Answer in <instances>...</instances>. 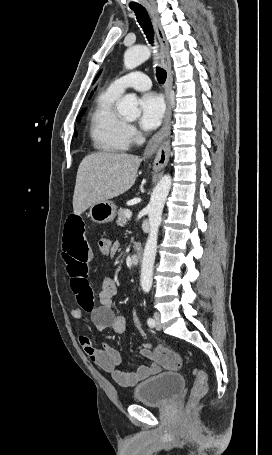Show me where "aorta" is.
Here are the masks:
<instances>
[{"mask_svg": "<svg viewBox=\"0 0 272 455\" xmlns=\"http://www.w3.org/2000/svg\"><path fill=\"white\" fill-rule=\"evenodd\" d=\"M150 55L151 51L147 46L130 47L124 53V66L129 70L134 69L149 59ZM117 109L121 115L131 120L137 119L141 114L138 109L137 97L133 94L125 95L118 104ZM171 183V176L168 174L164 175L154 188L147 206L149 236L143 253L140 280L144 292H149L152 287L159 226L162 221V212L171 188Z\"/></svg>", "mask_w": 272, "mask_h": 455, "instance_id": "aorta-1", "label": "aorta"}]
</instances>
